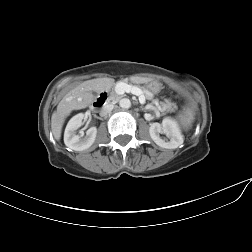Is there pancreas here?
Wrapping results in <instances>:
<instances>
[{"label": "pancreas", "instance_id": "pancreas-1", "mask_svg": "<svg viewBox=\"0 0 252 252\" xmlns=\"http://www.w3.org/2000/svg\"><path fill=\"white\" fill-rule=\"evenodd\" d=\"M119 83H122V80H119V82L116 84V86H117ZM126 83L131 84V81H129V80L123 81V84H126ZM132 85H135V82H132ZM136 87H137V89L143 90L144 93H145V92L150 93L151 97L154 96L153 93H151L148 89H146V88H144V87H141L139 84H136ZM115 89H116V87L111 91V98H112L113 100H117L118 98H120V96L115 92ZM161 103L168 106V108H169V111H168V112H172V111L176 108L175 103H172V102L169 101V100H165L164 102L161 101Z\"/></svg>", "mask_w": 252, "mask_h": 252}]
</instances>
